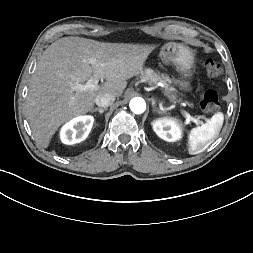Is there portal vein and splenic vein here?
Returning a JSON list of instances; mask_svg holds the SVG:
<instances>
[{"mask_svg": "<svg viewBox=\"0 0 253 253\" xmlns=\"http://www.w3.org/2000/svg\"><path fill=\"white\" fill-rule=\"evenodd\" d=\"M92 64L94 61H90ZM98 79L97 78H90L86 84H76L72 86V89L76 92H84L89 90H97L98 89ZM184 116L186 118V123H189L190 121H193L196 124H202L201 121H198L197 119L193 118L189 113L184 111Z\"/></svg>", "mask_w": 253, "mask_h": 253, "instance_id": "obj_1", "label": "portal vein and splenic vein"}]
</instances>
